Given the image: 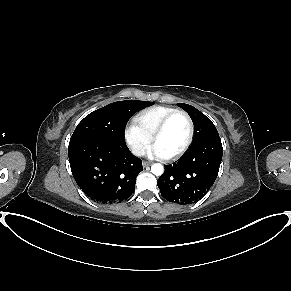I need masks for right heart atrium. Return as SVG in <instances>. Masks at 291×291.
I'll list each match as a JSON object with an SVG mask.
<instances>
[{"label": "right heart atrium", "mask_w": 291, "mask_h": 291, "mask_svg": "<svg viewBox=\"0 0 291 291\" xmlns=\"http://www.w3.org/2000/svg\"><path fill=\"white\" fill-rule=\"evenodd\" d=\"M124 138L132 153L136 156L142 155L151 142V137L136 123L127 125Z\"/></svg>", "instance_id": "obj_1"}]
</instances>
